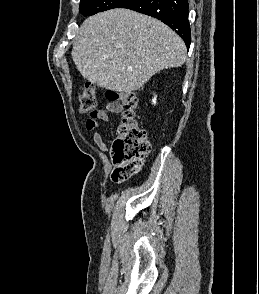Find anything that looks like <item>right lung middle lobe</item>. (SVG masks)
Segmentation results:
<instances>
[{
	"label": "right lung middle lobe",
	"instance_id": "dd1d6c3e",
	"mask_svg": "<svg viewBox=\"0 0 259 294\" xmlns=\"http://www.w3.org/2000/svg\"><path fill=\"white\" fill-rule=\"evenodd\" d=\"M129 0H81L80 13L84 16L94 15L98 12L118 8Z\"/></svg>",
	"mask_w": 259,
	"mask_h": 294
}]
</instances>
